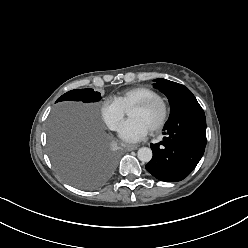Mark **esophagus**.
<instances>
[{"label": "esophagus", "instance_id": "esophagus-1", "mask_svg": "<svg viewBox=\"0 0 248 248\" xmlns=\"http://www.w3.org/2000/svg\"><path fill=\"white\" fill-rule=\"evenodd\" d=\"M137 148H138L137 145H126V146H125V149H126L127 151L136 150Z\"/></svg>", "mask_w": 248, "mask_h": 248}]
</instances>
